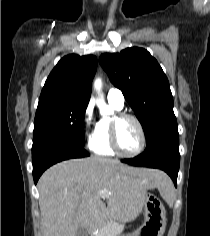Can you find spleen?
<instances>
[{
  "label": "spleen",
  "instance_id": "spleen-1",
  "mask_svg": "<svg viewBox=\"0 0 210 236\" xmlns=\"http://www.w3.org/2000/svg\"><path fill=\"white\" fill-rule=\"evenodd\" d=\"M171 191H172V185H171V182H170V185L166 186V195L169 196L171 194Z\"/></svg>",
  "mask_w": 210,
  "mask_h": 236
}]
</instances>
